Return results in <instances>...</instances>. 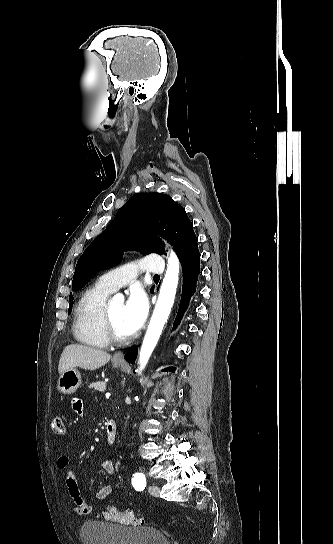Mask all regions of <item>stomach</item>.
Segmentation results:
<instances>
[{"label":"stomach","mask_w":333,"mask_h":544,"mask_svg":"<svg viewBox=\"0 0 333 544\" xmlns=\"http://www.w3.org/2000/svg\"><path fill=\"white\" fill-rule=\"evenodd\" d=\"M115 368L122 367L120 363L113 364ZM81 385V375L76 368H70L64 371L58 380V390L63 394L74 393Z\"/></svg>","instance_id":"1"}]
</instances>
